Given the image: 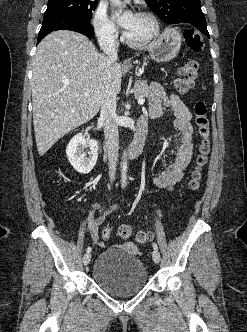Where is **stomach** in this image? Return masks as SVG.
<instances>
[{
  "label": "stomach",
  "mask_w": 247,
  "mask_h": 332,
  "mask_svg": "<svg viewBox=\"0 0 247 332\" xmlns=\"http://www.w3.org/2000/svg\"><path fill=\"white\" fill-rule=\"evenodd\" d=\"M181 43L180 32L175 28H168L149 45L148 51L154 61L167 62L178 55Z\"/></svg>",
  "instance_id": "0dacf381"
}]
</instances>
